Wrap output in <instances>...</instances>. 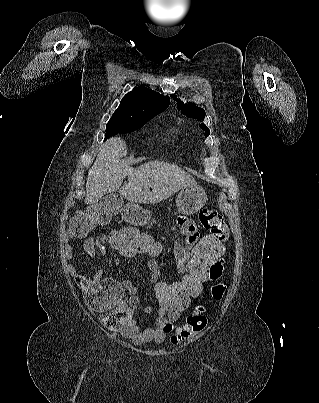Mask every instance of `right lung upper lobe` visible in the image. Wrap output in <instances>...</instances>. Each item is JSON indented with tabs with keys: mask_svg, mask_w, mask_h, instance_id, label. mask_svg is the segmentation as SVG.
<instances>
[{
	"mask_svg": "<svg viewBox=\"0 0 319 403\" xmlns=\"http://www.w3.org/2000/svg\"><path fill=\"white\" fill-rule=\"evenodd\" d=\"M169 102V97L140 86L123 97L115 113L134 119H146L166 110Z\"/></svg>",
	"mask_w": 319,
	"mask_h": 403,
	"instance_id": "right-lung-upper-lobe-1",
	"label": "right lung upper lobe"
}]
</instances>
